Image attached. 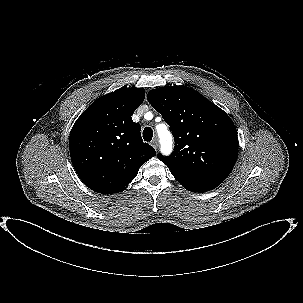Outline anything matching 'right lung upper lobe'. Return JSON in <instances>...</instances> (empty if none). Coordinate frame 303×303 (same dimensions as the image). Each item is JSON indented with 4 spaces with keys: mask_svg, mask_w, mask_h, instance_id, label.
Here are the masks:
<instances>
[{
    "mask_svg": "<svg viewBox=\"0 0 303 303\" xmlns=\"http://www.w3.org/2000/svg\"><path fill=\"white\" fill-rule=\"evenodd\" d=\"M144 98V89L122 87L97 99L75 122L69 137L71 161L91 190L122 192L156 155L131 117Z\"/></svg>",
    "mask_w": 303,
    "mask_h": 303,
    "instance_id": "obj_1",
    "label": "right lung upper lobe"
}]
</instances>
